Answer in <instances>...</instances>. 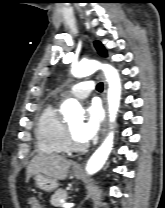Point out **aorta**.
Listing matches in <instances>:
<instances>
[{"mask_svg":"<svg viewBox=\"0 0 165 208\" xmlns=\"http://www.w3.org/2000/svg\"><path fill=\"white\" fill-rule=\"evenodd\" d=\"M102 69L108 83V105L110 122H114L117 116V111L121 99V81L117 70L109 65L102 64L95 60H85L72 66V74L75 77L82 78L91 75L96 70ZM62 113L65 118L83 116V109L79 102L75 99L64 101L61 106ZM114 133L109 132L101 146L93 153L86 165L88 175L97 173L106 162L113 148Z\"/></svg>","mask_w":165,"mask_h":208,"instance_id":"1","label":"aorta"}]
</instances>
